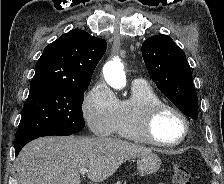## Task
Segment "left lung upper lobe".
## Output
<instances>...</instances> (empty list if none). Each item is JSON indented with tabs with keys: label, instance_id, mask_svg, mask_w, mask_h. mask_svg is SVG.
I'll list each match as a JSON object with an SVG mask.
<instances>
[{
	"label": "left lung upper lobe",
	"instance_id": "left-lung-upper-lobe-1",
	"mask_svg": "<svg viewBox=\"0 0 224 184\" xmlns=\"http://www.w3.org/2000/svg\"><path fill=\"white\" fill-rule=\"evenodd\" d=\"M142 55L157 87L188 118L198 117V98L185 53L167 35L149 37Z\"/></svg>",
	"mask_w": 224,
	"mask_h": 184
}]
</instances>
